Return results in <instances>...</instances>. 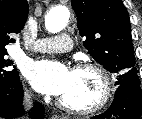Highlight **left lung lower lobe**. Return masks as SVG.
<instances>
[{"mask_svg": "<svg viewBox=\"0 0 142 119\" xmlns=\"http://www.w3.org/2000/svg\"><path fill=\"white\" fill-rule=\"evenodd\" d=\"M142 114V90L140 84L131 82L120 85L109 109L91 119H139Z\"/></svg>", "mask_w": 142, "mask_h": 119, "instance_id": "1", "label": "left lung lower lobe"}]
</instances>
